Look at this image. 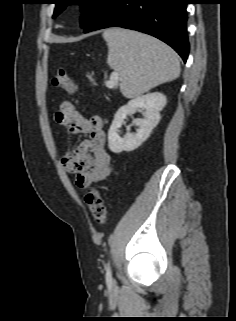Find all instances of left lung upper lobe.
I'll return each mask as SVG.
<instances>
[{"mask_svg":"<svg viewBox=\"0 0 236 321\" xmlns=\"http://www.w3.org/2000/svg\"><path fill=\"white\" fill-rule=\"evenodd\" d=\"M110 0H54L56 7L53 17H56L66 5L81 4V27L85 28L109 3Z\"/></svg>","mask_w":236,"mask_h":321,"instance_id":"5c2ea615","label":"left lung upper lobe"}]
</instances>
